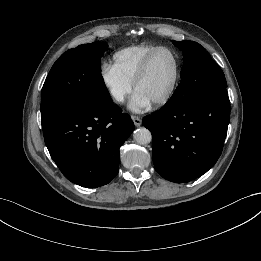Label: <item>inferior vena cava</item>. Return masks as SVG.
Segmentation results:
<instances>
[{
    "label": "inferior vena cava",
    "mask_w": 261,
    "mask_h": 261,
    "mask_svg": "<svg viewBox=\"0 0 261 261\" xmlns=\"http://www.w3.org/2000/svg\"><path fill=\"white\" fill-rule=\"evenodd\" d=\"M123 98H124L123 94H118V95L116 96V100H118V101H122Z\"/></svg>",
    "instance_id": "602c4592"
}]
</instances>
